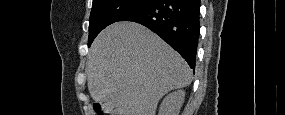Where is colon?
<instances>
[{
    "label": "colon",
    "mask_w": 285,
    "mask_h": 115,
    "mask_svg": "<svg viewBox=\"0 0 285 115\" xmlns=\"http://www.w3.org/2000/svg\"><path fill=\"white\" fill-rule=\"evenodd\" d=\"M98 113H102L100 107H97Z\"/></svg>",
    "instance_id": "1"
}]
</instances>
